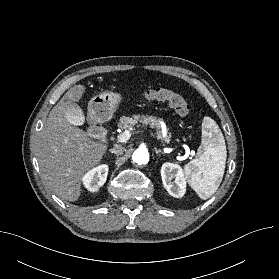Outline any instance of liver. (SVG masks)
<instances>
[{
	"label": "liver",
	"instance_id": "6515ba94",
	"mask_svg": "<svg viewBox=\"0 0 279 279\" xmlns=\"http://www.w3.org/2000/svg\"><path fill=\"white\" fill-rule=\"evenodd\" d=\"M85 90L84 85H75L65 93L50 111L36 143L44 183L58 197L71 202L81 194L84 174L100 163L107 150L67 117L66 102L80 101Z\"/></svg>",
	"mask_w": 279,
	"mask_h": 279
}]
</instances>
